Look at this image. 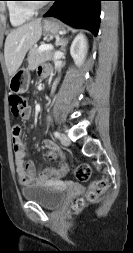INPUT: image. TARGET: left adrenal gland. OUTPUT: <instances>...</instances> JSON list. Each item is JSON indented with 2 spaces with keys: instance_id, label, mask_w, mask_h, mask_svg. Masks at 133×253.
Here are the masks:
<instances>
[{
  "instance_id": "1",
  "label": "left adrenal gland",
  "mask_w": 133,
  "mask_h": 253,
  "mask_svg": "<svg viewBox=\"0 0 133 253\" xmlns=\"http://www.w3.org/2000/svg\"><path fill=\"white\" fill-rule=\"evenodd\" d=\"M58 44L61 46V50H64L68 44V39L61 38L58 40Z\"/></svg>"
}]
</instances>
